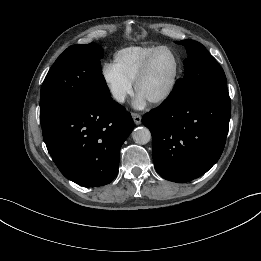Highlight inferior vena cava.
Wrapping results in <instances>:
<instances>
[{"instance_id":"obj_1","label":"inferior vena cava","mask_w":261,"mask_h":261,"mask_svg":"<svg viewBox=\"0 0 261 261\" xmlns=\"http://www.w3.org/2000/svg\"><path fill=\"white\" fill-rule=\"evenodd\" d=\"M125 93L122 92V91H117V92H114L113 96L114 98L119 101V102H124L125 100Z\"/></svg>"}]
</instances>
